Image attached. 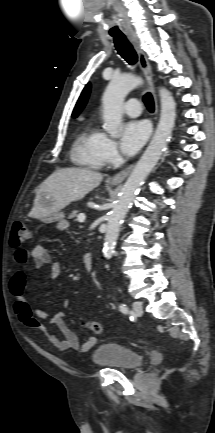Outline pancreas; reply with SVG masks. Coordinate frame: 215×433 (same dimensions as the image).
Segmentation results:
<instances>
[{"mask_svg": "<svg viewBox=\"0 0 215 433\" xmlns=\"http://www.w3.org/2000/svg\"><path fill=\"white\" fill-rule=\"evenodd\" d=\"M79 211L78 210H74L72 211V213L68 216L69 219H73L78 215Z\"/></svg>", "mask_w": 215, "mask_h": 433, "instance_id": "obj_1", "label": "pancreas"}]
</instances>
